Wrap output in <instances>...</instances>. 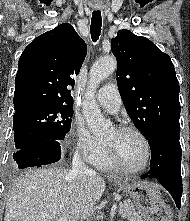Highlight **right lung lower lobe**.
I'll list each match as a JSON object with an SVG mask.
<instances>
[{"label": "right lung lower lobe", "mask_w": 190, "mask_h": 221, "mask_svg": "<svg viewBox=\"0 0 190 221\" xmlns=\"http://www.w3.org/2000/svg\"><path fill=\"white\" fill-rule=\"evenodd\" d=\"M61 156L59 140H43L13 154L18 168L40 167L56 162Z\"/></svg>", "instance_id": "obj_1"}]
</instances>
